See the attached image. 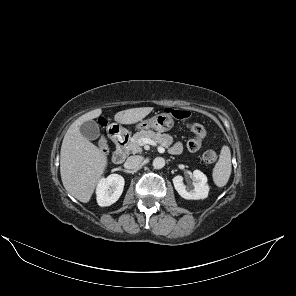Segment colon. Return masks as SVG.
Instances as JSON below:
<instances>
[{
    "label": "colon",
    "mask_w": 296,
    "mask_h": 296,
    "mask_svg": "<svg viewBox=\"0 0 296 296\" xmlns=\"http://www.w3.org/2000/svg\"><path fill=\"white\" fill-rule=\"evenodd\" d=\"M166 112L179 120H187L190 117V113L187 110L167 108ZM187 128L194 134V137L188 140L187 147L191 151H197L202 146V142L206 136V130L201 124L190 122L187 123ZM98 146L101 152H107L108 145L105 138H100ZM202 160L207 164L215 163L217 154L213 150H207L202 154Z\"/></svg>",
    "instance_id": "colon-1"
}]
</instances>
